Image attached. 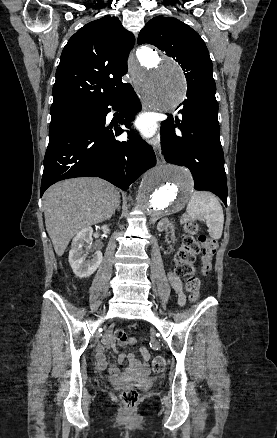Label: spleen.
<instances>
[{"mask_svg":"<svg viewBox=\"0 0 277 438\" xmlns=\"http://www.w3.org/2000/svg\"><path fill=\"white\" fill-rule=\"evenodd\" d=\"M187 212L195 220H206L209 236L219 240L223 232L224 216L221 204L209 192H194L188 202Z\"/></svg>","mask_w":277,"mask_h":438,"instance_id":"1","label":"spleen"}]
</instances>
